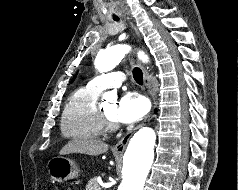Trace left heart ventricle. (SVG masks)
Masks as SVG:
<instances>
[{"instance_id":"b2bd125f","label":"left heart ventricle","mask_w":238,"mask_h":190,"mask_svg":"<svg viewBox=\"0 0 238 190\" xmlns=\"http://www.w3.org/2000/svg\"><path fill=\"white\" fill-rule=\"evenodd\" d=\"M116 110L117 104L116 103H109L105 105L102 111L112 120L116 121Z\"/></svg>"}]
</instances>
